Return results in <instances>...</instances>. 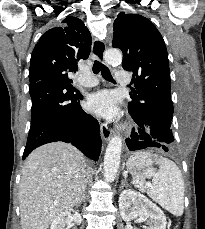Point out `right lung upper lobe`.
Masks as SVG:
<instances>
[{"mask_svg":"<svg viewBox=\"0 0 205 229\" xmlns=\"http://www.w3.org/2000/svg\"><path fill=\"white\" fill-rule=\"evenodd\" d=\"M62 23V27L46 31L35 45L29 69L30 86L54 76H68V72L78 70L80 59L88 58L92 39L87 27L76 17H67Z\"/></svg>","mask_w":205,"mask_h":229,"instance_id":"obj_1","label":"right lung upper lobe"}]
</instances>
